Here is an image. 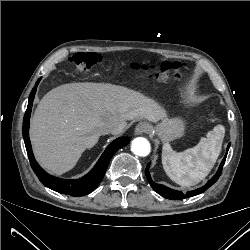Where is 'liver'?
Instances as JSON below:
<instances>
[{"mask_svg":"<svg viewBox=\"0 0 250 250\" xmlns=\"http://www.w3.org/2000/svg\"><path fill=\"white\" fill-rule=\"evenodd\" d=\"M166 112L153 100L125 87L104 83L60 85L39 102L31 121L30 139L37 161L54 174L76 165L95 146L109 121L158 122ZM123 128V129H124ZM117 134V133H116Z\"/></svg>","mask_w":250,"mask_h":250,"instance_id":"1","label":"liver"}]
</instances>
